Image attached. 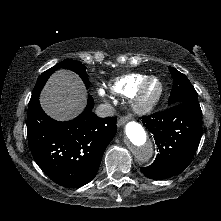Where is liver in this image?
Returning a JSON list of instances; mask_svg holds the SVG:
<instances>
[{"instance_id":"6515ba94","label":"liver","mask_w":221,"mask_h":221,"mask_svg":"<svg viewBox=\"0 0 221 221\" xmlns=\"http://www.w3.org/2000/svg\"><path fill=\"white\" fill-rule=\"evenodd\" d=\"M43 110L53 119L66 121L85 107L86 90L79 77L69 70L52 74L40 95Z\"/></svg>"}]
</instances>
